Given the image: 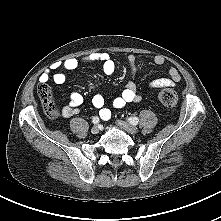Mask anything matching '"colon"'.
Returning <instances> with one entry per match:
<instances>
[{"mask_svg": "<svg viewBox=\"0 0 221 221\" xmlns=\"http://www.w3.org/2000/svg\"><path fill=\"white\" fill-rule=\"evenodd\" d=\"M37 93L47 115L50 117H56L58 108L53 100L51 91L48 86L46 84H40ZM158 99L165 107L173 108L177 104L178 96L173 89L164 86L161 87L158 91Z\"/></svg>", "mask_w": 221, "mask_h": 221, "instance_id": "1", "label": "colon"}]
</instances>
